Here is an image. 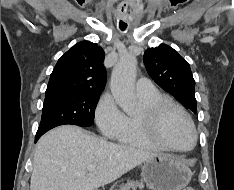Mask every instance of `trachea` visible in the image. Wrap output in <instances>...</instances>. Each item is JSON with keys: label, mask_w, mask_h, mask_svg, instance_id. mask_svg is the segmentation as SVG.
<instances>
[{"label": "trachea", "mask_w": 234, "mask_h": 190, "mask_svg": "<svg viewBox=\"0 0 234 190\" xmlns=\"http://www.w3.org/2000/svg\"><path fill=\"white\" fill-rule=\"evenodd\" d=\"M119 27H120V29H121L122 31H124V30L126 29L127 26L120 25Z\"/></svg>", "instance_id": "trachea-1"}]
</instances>
